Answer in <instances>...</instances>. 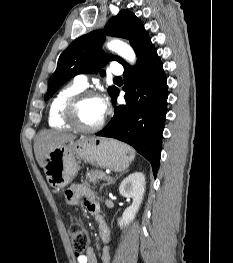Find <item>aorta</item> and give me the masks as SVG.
Masks as SVG:
<instances>
[{
	"mask_svg": "<svg viewBox=\"0 0 233 263\" xmlns=\"http://www.w3.org/2000/svg\"><path fill=\"white\" fill-rule=\"evenodd\" d=\"M107 47L110 50L116 52L118 55H120L122 58H124L129 63L133 64L136 60V56H135L133 49L122 41L113 40L107 44Z\"/></svg>",
	"mask_w": 233,
	"mask_h": 263,
	"instance_id": "obj_1",
	"label": "aorta"
}]
</instances>
